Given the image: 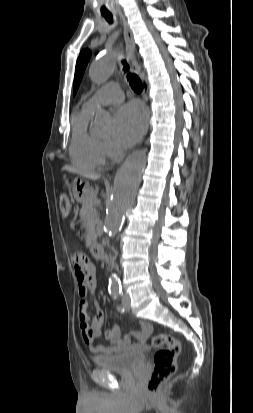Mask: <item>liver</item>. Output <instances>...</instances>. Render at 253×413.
<instances>
[{
	"label": "liver",
	"instance_id": "liver-1",
	"mask_svg": "<svg viewBox=\"0 0 253 413\" xmlns=\"http://www.w3.org/2000/svg\"><path fill=\"white\" fill-rule=\"evenodd\" d=\"M63 171H69L71 173L79 174L81 176H84L86 178L92 179V180H97L100 178V174H94V173H88V172H83L79 170L78 168L72 167V166H64L62 168Z\"/></svg>",
	"mask_w": 253,
	"mask_h": 413
}]
</instances>
